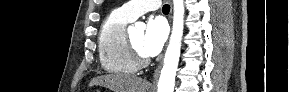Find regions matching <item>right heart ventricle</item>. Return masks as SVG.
<instances>
[{"label":"right heart ventricle","instance_id":"right-heart-ventricle-1","mask_svg":"<svg viewBox=\"0 0 289 92\" xmlns=\"http://www.w3.org/2000/svg\"><path fill=\"white\" fill-rule=\"evenodd\" d=\"M131 21L119 10H114L101 25L98 35L99 60L108 73L133 74L137 71L126 42V26Z\"/></svg>","mask_w":289,"mask_h":92}]
</instances>
